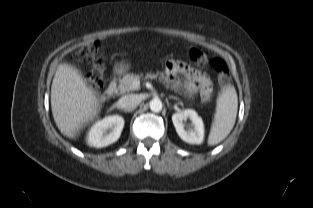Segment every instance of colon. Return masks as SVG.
Here are the masks:
<instances>
[{
	"label": "colon",
	"mask_w": 313,
	"mask_h": 208,
	"mask_svg": "<svg viewBox=\"0 0 313 208\" xmlns=\"http://www.w3.org/2000/svg\"><path fill=\"white\" fill-rule=\"evenodd\" d=\"M100 42L95 41L90 45H86L79 50V56L86 60L95 62V67L89 75L90 80L96 86H102L104 83L103 69L100 64L99 57ZM190 59L198 64L204 65L210 63L212 68L217 73L218 82L220 85H225L230 80L229 69L227 65L219 58L208 60L207 56L200 50L192 48L189 52ZM204 100V98H202Z\"/></svg>",
	"instance_id": "colon-1"
}]
</instances>
